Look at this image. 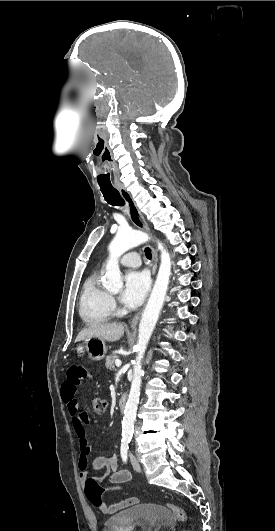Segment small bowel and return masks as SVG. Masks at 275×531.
Here are the masks:
<instances>
[{"instance_id":"c3829d8e","label":"small bowel","mask_w":275,"mask_h":531,"mask_svg":"<svg viewBox=\"0 0 275 531\" xmlns=\"http://www.w3.org/2000/svg\"><path fill=\"white\" fill-rule=\"evenodd\" d=\"M65 374L68 382L63 384L62 399L71 416L74 430L80 437L81 453L77 460L80 479L86 481V473L91 469L93 471H102L109 478H115L119 485L130 482L131 474L128 470L119 467L117 454L114 453L109 456L100 455L96 456L92 462L89 461L92 447L85 438L86 428L89 424V417L85 410L79 408L76 393L78 391L77 384L85 381L89 382L91 380V377L89 376L90 370L88 368H77L75 364H70L68 365ZM137 503V498H128L111 505L102 503L99 509L105 514L112 515L134 506Z\"/></svg>"}]
</instances>
